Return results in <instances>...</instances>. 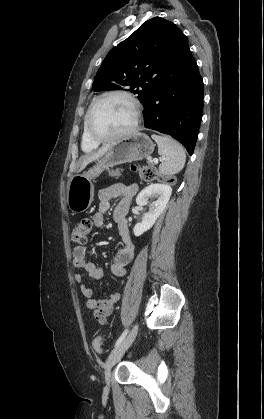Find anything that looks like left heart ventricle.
<instances>
[{"label": "left heart ventricle", "mask_w": 264, "mask_h": 419, "mask_svg": "<svg viewBox=\"0 0 264 419\" xmlns=\"http://www.w3.org/2000/svg\"><path fill=\"white\" fill-rule=\"evenodd\" d=\"M134 120V107L123 96H110L94 109L91 125L100 136H111L128 129Z\"/></svg>", "instance_id": "1"}]
</instances>
